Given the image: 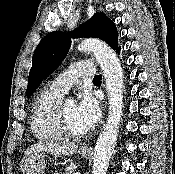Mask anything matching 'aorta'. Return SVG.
<instances>
[{
    "mask_svg": "<svg viewBox=\"0 0 175 174\" xmlns=\"http://www.w3.org/2000/svg\"><path fill=\"white\" fill-rule=\"evenodd\" d=\"M80 51H92L105 78L109 99L107 122L95 145L92 174H106L116 145L123 110V71L115 52L103 41L87 38L78 45Z\"/></svg>",
    "mask_w": 175,
    "mask_h": 174,
    "instance_id": "obj_1",
    "label": "aorta"
}]
</instances>
